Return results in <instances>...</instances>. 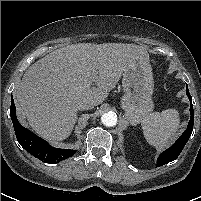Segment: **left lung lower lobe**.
Segmentation results:
<instances>
[{"mask_svg": "<svg viewBox=\"0 0 201 201\" xmlns=\"http://www.w3.org/2000/svg\"><path fill=\"white\" fill-rule=\"evenodd\" d=\"M186 94L190 101V114L191 118L188 123V127L185 132L179 137V139L167 150H165L157 159V166L160 167L165 165L173 160H175L181 151L183 150L184 146L186 145L187 141L189 140L192 131H193V123H194V110L192 104V97L189 93L188 86L186 85Z\"/></svg>", "mask_w": 201, "mask_h": 201, "instance_id": "0a47b994", "label": "left lung lower lobe"}]
</instances>
